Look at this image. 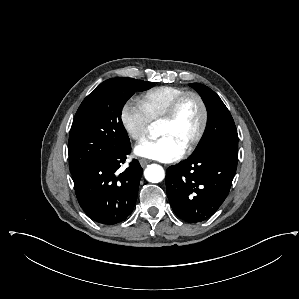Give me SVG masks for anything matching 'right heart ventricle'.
Wrapping results in <instances>:
<instances>
[{
  "label": "right heart ventricle",
  "mask_w": 299,
  "mask_h": 299,
  "mask_svg": "<svg viewBox=\"0 0 299 299\" xmlns=\"http://www.w3.org/2000/svg\"><path fill=\"white\" fill-rule=\"evenodd\" d=\"M187 90L176 86H160L145 92L138 103L152 123L160 122L172 102Z\"/></svg>",
  "instance_id": "obj_1"
}]
</instances>
